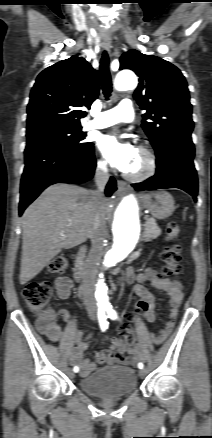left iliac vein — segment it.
Masks as SVG:
<instances>
[{
    "mask_svg": "<svg viewBox=\"0 0 212 438\" xmlns=\"http://www.w3.org/2000/svg\"><path fill=\"white\" fill-rule=\"evenodd\" d=\"M146 374H147V371H146L145 369H141V370L139 371V376H140V377H145Z\"/></svg>",
    "mask_w": 212,
    "mask_h": 438,
    "instance_id": "obj_1",
    "label": "left iliac vein"
}]
</instances>
